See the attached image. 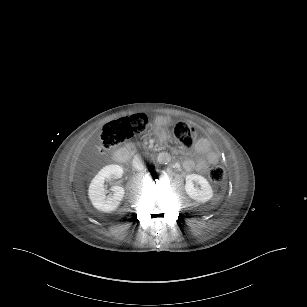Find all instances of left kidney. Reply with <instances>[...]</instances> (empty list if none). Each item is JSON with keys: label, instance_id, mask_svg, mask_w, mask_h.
Instances as JSON below:
<instances>
[{"label": "left kidney", "instance_id": "5707ae66", "mask_svg": "<svg viewBox=\"0 0 307 307\" xmlns=\"http://www.w3.org/2000/svg\"><path fill=\"white\" fill-rule=\"evenodd\" d=\"M185 181V191L190 198L198 202H207L212 198L213 190L203 176L189 174L186 176ZM194 184L200 185V188L195 187Z\"/></svg>", "mask_w": 307, "mask_h": 307}]
</instances>
